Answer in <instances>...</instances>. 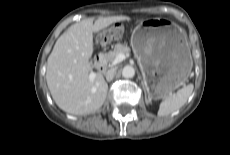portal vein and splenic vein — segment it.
Segmentation results:
<instances>
[{"label":"portal vein and splenic vein","mask_w":230,"mask_h":155,"mask_svg":"<svg viewBox=\"0 0 230 155\" xmlns=\"http://www.w3.org/2000/svg\"><path fill=\"white\" fill-rule=\"evenodd\" d=\"M125 59H126V55L123 54V53H120L114 59L113 64H118V63L122 62ZM94 77H95V73L94 72L90 73L89 78L93 79Z\"/></svg>","instance_id":"portal-vein-and-splenic-vein-1"}]
</instances>
